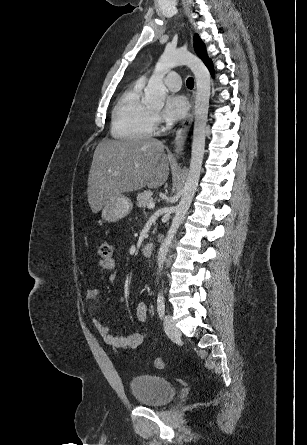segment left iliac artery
<instances>
[{"instance_id":"left-iliac-artery-1","label":"left iliac artery","mask_w":307,"mask_h":445,"mask_svg":"<svg viewBox=\"0 0 307 445\" xmlns=\"http://www.w3.org/2000/svg\"><path fill=\"white\" fill-rule=\"evenodd\" d=\"M157 311H158L159 317L162 318L165 313V300L161 293H159L158 297H157Z\"/></svg>"}]
</instances>
